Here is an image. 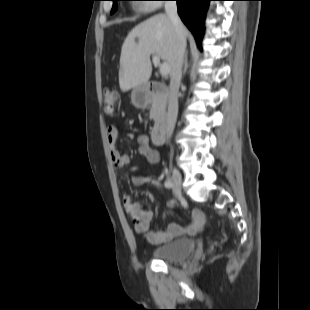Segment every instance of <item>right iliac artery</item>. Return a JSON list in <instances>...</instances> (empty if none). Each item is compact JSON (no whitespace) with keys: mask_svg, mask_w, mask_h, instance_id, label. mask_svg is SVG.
Instances as JSON below:
<instances>
[{"mask_svg":"<svg viewBox=\"0 0 310 310\" xmlns=\"http://www.w3.org/2000/svg\"><path fill=\"white\" fill-rule=\"evenodd\" d=\"M165 187L167 188H172L173 187V182L171 181V179H167L164 183Z\"/></svg>","mask_w":310,"mask_h":310,"instance_id":"1","label":"right iliac artery"}]
</instances>
